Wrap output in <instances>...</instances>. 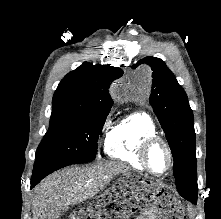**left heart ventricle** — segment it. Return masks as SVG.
Segmentation results:
<instances>
[{
	"label": "left heart ventricle",
	"mask_w": 221,
	"mask_h": 219,
	"mask_svg": "<svg viewBox=\"0 0 221 219\" xmlns=\"http://www.w3.org/2000/svg\"><path fill=\"white\" fill-rule=\"evenodd\" d=\"M149 162L153 170L157 173H164L168 168V156L161 145H155L149 152Z\"/></svg>",
	"instance_id": "1"
}]
</instances>
